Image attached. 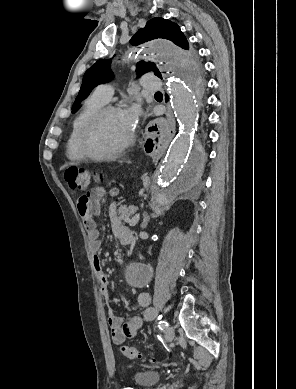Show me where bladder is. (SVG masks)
Here are the masks:
<instances>
[{
    "label": "bladder",
    "instance_id": "31cf9c89",
    "mask_svg": "<svg viewBox=\"0 0 296 389\" xmlns=\"http://www.w3.org/2000/svg\"><path fill=\"white\" fill-rule=\"evenodd\" d=\"M160 375L154 371H139L134 375V382L140 388L153 386L159 381Z\"/></svg>",
    "mask_w": 296,
    "mask_h": 389
}]
</instances>
